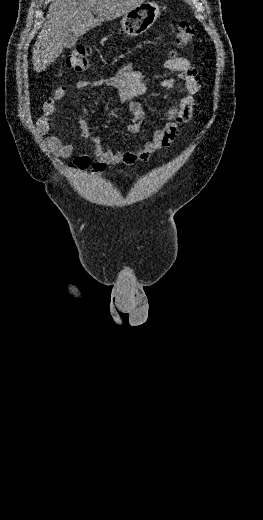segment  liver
<instances>
[{
    "label": "liver",
    "instance_id": "6515ba94",
    "mask_svg": "<svg viewBox=\"0 0 263 520\" xmlns=\"http://www.w3.org/2000/svg\"><path fill=\"white\" fill-rule=\"evenodd\" d=\"M145 0H53L47 22L33 48V67L44 71L62 53L66 37L75 41L103 21H110L134 9ZM96 17H94V15Z\"/></svg>",
    "mask_w": 263,
    "mask_h": 520
}]
</instances>
